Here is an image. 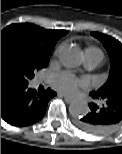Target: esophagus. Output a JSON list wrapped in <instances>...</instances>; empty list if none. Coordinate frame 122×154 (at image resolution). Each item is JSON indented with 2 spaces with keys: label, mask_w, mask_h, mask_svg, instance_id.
Instances as JSON below:
<instances>
[{
  "label": "esophagus",
  "mask_w": 122,
  "mask_h": 154,
  "mask_svg": "<svg viewBox=\"0 0 122 154\" xmlns=\"http://www.w3.org/2000/svg\"><path fill=\"white\" fill-rule=\"evenodd\" d=\"M61 95L64 97V99H65V101H66L67 103H70V102L73 101V98H71V97H69V96H67V95H64V94H61Z\"/></svg>",
  "instance_id": "esophagus-1"
}]
</instances>
